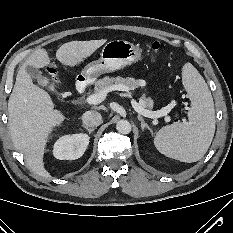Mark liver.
<instances>
[{
  "instance_id": "obj_1",
  "label": "liver",
  "mask_w": 233,
  "mask_h": 233,
  "mask_svg": "<svg viewBox=\"0 0 233 233\" xmlns=\"http://www.w3.org/2000/svg\"><path fill=\"white\" fill-rule=\"evenodd\" d=\"M106 41L100 39L65 43L57 50L56 58L65 66H78ZM49 63L50 58L45 49L34 51L20 67L8 101L12 142L24 155L29 168L43 177L50 176L43 162L49 136L66 117L61 111L54 109L50 95L33 84L26 67L43 68Z\"/></svg>"
}]
</instances>
